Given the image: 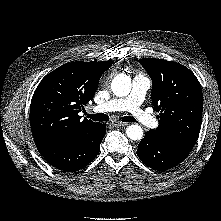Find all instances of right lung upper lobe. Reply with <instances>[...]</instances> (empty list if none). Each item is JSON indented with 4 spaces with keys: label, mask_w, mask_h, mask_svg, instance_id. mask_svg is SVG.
I'll return each mask as SVG.
<instances>
[{
    "label": "right lung upper lobe",
    "mask_w": 221,
    "mask_h": 221,
    "mask_svg": "<svg viewBox=\"0 0 221 221\" xmlns=\"http://www.w3.org/2000/svg\"><path fill=\"white\" fill-rule=\"evenodd\" d=\"M113 64L72 62L55 69L36 88L30 106L34 140L71 141L100 125L78 115L93 99L102 74Z\"/></svg>",
    "instance_id": "right-lung-upper-lobe-1"
}]
</instances>
